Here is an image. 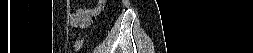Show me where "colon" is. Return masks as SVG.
<instances>
[{"mask_svg":"<svg viewBox=\"0 0 253 53\" xmlns=\"http://www.w3.org/2000/svg\"><path fill=\"white\" fill-rule=\"evenodd\" d=\"M84 44H85V40L83 38H79L74 43V50L75 51L81 50L83 48Z\"/></svg>","mask_w":253,"mask_h":53,"instance_id":"1","label":"colon"}]
</instances>
